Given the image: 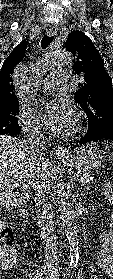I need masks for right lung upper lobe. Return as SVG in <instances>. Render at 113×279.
<instances>
[{"instance_id": "1", "label": "right lung upper lobe", "mask_w": 113, "mask_h": 279, "mask_svg": "<svg viewBox=\"0 0 113 279\" xmlns=\"http://www.w3.org/2000/svg\"><path fill=\"white\" fill-rule=\"evenodd\" d=\"M27 41L23 40L4 61L0 70V109L18 103L15 95L12 74L14 68L25 57Z\"/></svg>"}]
</instances>
